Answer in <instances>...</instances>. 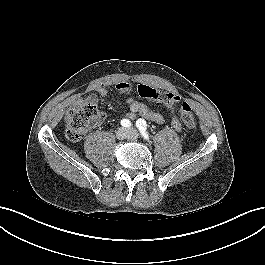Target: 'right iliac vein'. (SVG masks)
I'll return each instance as SVG.
<instances>
[{"label":"right iliac vein","instance_id":"1","mask_svg":"<svg viewBox=\"0 0 265 265\" xmlns=\"http://www.w3.org/2000/svg\"><path fill=\"white\" fill-rule=\"evenodd\" d=\"M128 135V131L124 128H120L118 129V131L116 132V136L118 139H124L126 138Z\"/></svg>","mask_w":265,"mask_h":265}]
</instances>
